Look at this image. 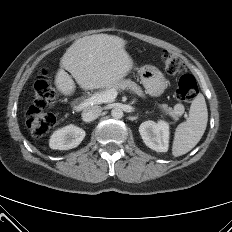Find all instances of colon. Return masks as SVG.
Returning a JSON list of instances; mask_svg holds the SVG:
<instances>
[{"mask_svg":"<svg viewBox=\"0 0 232 232\" xmlns=\"http://www.w3.org/2000/svg\"><path fill=\"white\" fill-rule=\"evenodd\" d=\"M161 62L169 75H180L176 90L177 98L191 102L199 94L198 85L193 75L185 73L183 60L169 51L161 53ZM58 95L45 75L37 77L34 84V102L28 110L26 124L31 134L36 138L44 137L55 125L53 114L45 112V108L56 103Z\"/></svg>","mask_w":232,"mask_h":232,"instance_id":"colon-1","label":"colon"}]
</instances>
